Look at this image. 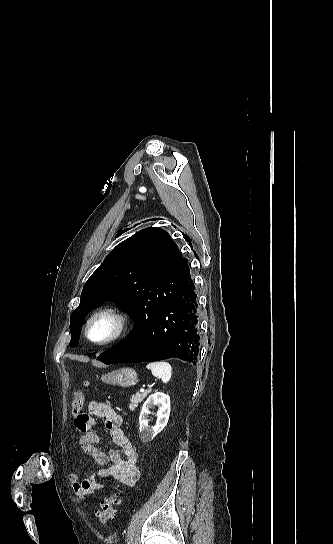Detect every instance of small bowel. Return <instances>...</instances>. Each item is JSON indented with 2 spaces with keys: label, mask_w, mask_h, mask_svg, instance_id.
Returning <instances> with one entry per match:
<instances>
[{
  "label": "small bowel",
  "mask_w": 333,
  "mask_h": 544,
  "mask_svg": "<svg viewBox=\"0 0 333 544\" xmlns=\"http://www.w3.org/2000/svg\"><path fill=\"white\" fill-rule=\"evenodd\" d=\"M98 418L105 421V426L118 449L105 453L98 447L100 436L95 431ZM74 424L81 433L79 437L81 449L98 465L109 464L83 480L76 472L69 474V481L77 497L85 498L105 487L106 483L101 481L104 478H112L114 482L128 486L137 482L140 470L135 450L122 429V416L110 402L91 401L88 404V413L80 414L75 418Z\"/></svg>",
  "instance_id": "1"
}]
</instances>
